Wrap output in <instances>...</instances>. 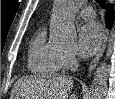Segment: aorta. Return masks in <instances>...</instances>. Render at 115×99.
Returning <instances> with one entry per match:
<instances>
[{"mask_svg": "<svg viewBox=\"0 0 115 99\" xmlns=\"http://www.w3.org/2000/svg\"><path fill=\"white\" fill-rule=\"evenodd\" d=\"M81 0H55L50 25L51 40L60 47L75 45L77 32L73 23ZM108 68L105 63L94 74L91 99H104L107 92Z\"/></svg>", "mask_w": 115, "mask_h": 99, "instance_id": "aorta-1", "label": "aorta"}]
</instances>
